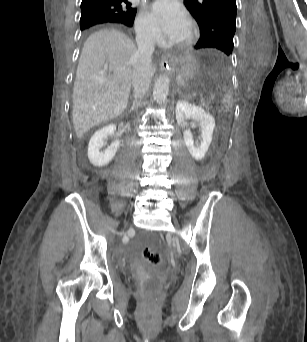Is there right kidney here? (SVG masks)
<instances>
[{"instance_id":"ca27d5eb","label":"right kidney","mask_w":307,"mask_h":342,"mask_svg":"<svg viewBox=\"0 0 307 342\" xmlns=\"http://www.w3.org/2000/svg\"><path fill=\"white\" fill-rule=\"evenodd\" d=\"M124 128L130 130L129 124H126ZM115 130L116 126H114V124H109V126H104V128L97 130V132L93 134L89 142L87 154L89 162H91L93 166H96V168H103V166H107V164L111 162L112 158H114L118 148L122 146L120 140H117V142H113L111 146H107L104 152H101V148L104 146L105 138L110 136V134H114Z\"/></svg>"}]
</instances>
